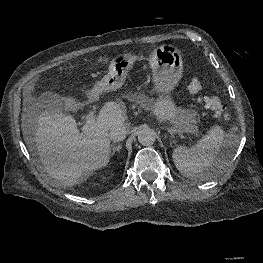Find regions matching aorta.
<instances>
[{"instance_id":"1","label":"aorta","mask_w":263,"mask_h":263,"mask_svg":"<svg viewBox=\"0 0 263 263\" xmlns=\"http://www.w3.org/2000/svg\"><path fill=\"white\" fill-rule=\"evenodd\" d=\"M156 140V134L150 129H143L138 134V141L143 146H150L154 144Z\"/></svg>"}]
</instances>
